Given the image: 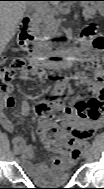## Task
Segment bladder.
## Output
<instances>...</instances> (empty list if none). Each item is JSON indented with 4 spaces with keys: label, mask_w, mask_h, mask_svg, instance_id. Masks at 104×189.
Returning <instances> with one entry per match:
<instances>
[{
    "label": "bladder",
    "mask_w": 104,
    "mask_h": 189,
    "mask_svg": "<svg viewBox=\"0 0 104 189\" xmlns=\"http://www.w3.org/2000/svg\"><path fill=\"white\" fill-rule=\"evenodd\" d=\"M27 176L40 185H62L70 180L69 166H49L41 174L27 173Z\"/></svg>",
    "instance_id": "31cf9c89"
}]
</instances>
